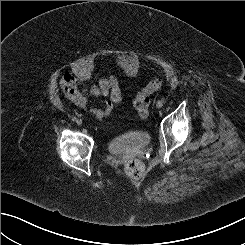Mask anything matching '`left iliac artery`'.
Here are the masks:
<instances>
[{
	"label": "left iliac artery",
	"mask_w": 245,
	"mask_h": 245,
	"mask_svg": "<svg viewBox=\"0 0 245 245\" xmlns=\"http://www.w3.org/2000/svg\"><path fill=\"white\" fill-rule=\"evenodd\" d=\"M159 102L163 104L166 102V100L164 98H162L161 100H159Z\"/></svg>",
	"instance_id": "44dca946"
}]
</instances>
